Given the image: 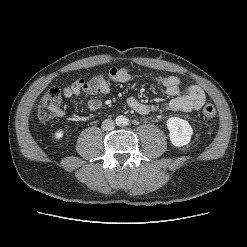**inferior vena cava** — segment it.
<instances>
[{
  "mask_svg": "<svg viewBox=\"0 0 247 247\" xmlns=\"http://www.w3.org/2000/svg\"><path fill=\"white\" fill-rule=\"evenodd\" d=\"M115 128V122L111 119H105L102 122V129L105 131H111Z\"/></svg>",
  "mask_w": 247,
  "mask_h": 247,
  "instance_id": "inferior-vena-cava-1",
  "label": "inferior vena cava"
}]
</instances>
